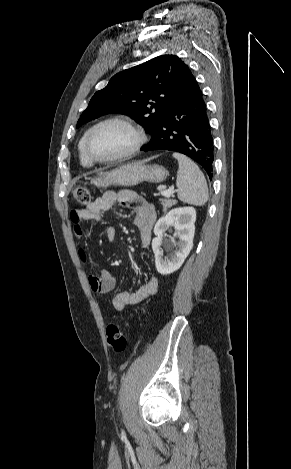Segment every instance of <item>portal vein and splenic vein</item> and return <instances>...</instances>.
I'll list each match as a JSON object with an SVG mask.
<instances>
[{
  "label": "portal vein and splenic vein",
  "instance_id": "obj_1",
  "mask_svg": "<svg viewBox=\"0 0 291 469\" xmlns=\"http://www.w3.org/2000/svg\"><path fill=\"white\" fill-rule=\"evenodd\" d=\"M162 195L165 197H170L174 193V187L169 188L168 190H162Z\"/></svg>",
  "mask_w": 291,
  "mask_h": 469
}]
</instances>
